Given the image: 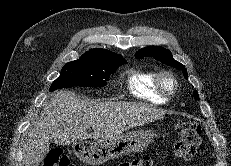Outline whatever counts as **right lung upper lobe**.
I'll list each match as a JSON object with an SVG mask.
<instances>
[{
	"label": "right lung upper lobe",
	"mask_w": 231,
	"mask_h": 166,
	"mask_svg": "<svg viewBox=\"0 0 231 166\" xmlns=\"http://www.w3.org/2000/svg\"><path fill=\"white\" fill-rule=\"evenodd\" d=\"M114 55H118L110 50H106V49H101V48H96V49H92L90 51H87L84 53V55L81 58H104L107 56H114Z\"/></svg>",
	"instance_id": "1"
}]
</instances>
